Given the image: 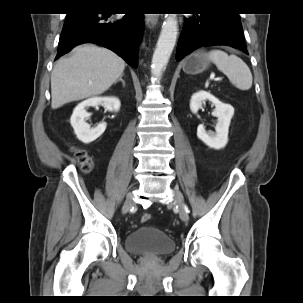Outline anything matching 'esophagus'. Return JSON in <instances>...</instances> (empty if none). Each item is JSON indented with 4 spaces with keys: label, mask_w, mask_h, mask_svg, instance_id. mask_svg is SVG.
Segmentation results:
<instances>
[{
    "label": "esophagus",
    "mask_w": 303,
    "mask_h": 303,
    "mask_svg": "<svg viewBox=\"0 0 303 303\" xmlns=\"http://www.w3.org/2000/svg\"><path fill=\"white\" fill-rule=\"evenodd\" d=\"M145 23L148 28H155L158 24V15L145 14Z\"/></svg>",
    "instance_id": "1"
}]
</instances>
